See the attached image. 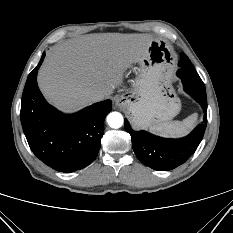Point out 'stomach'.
I'll return each mask as SVG.
<instances>
[{
  "mask_svg": "<svg viewBox=\"0 0 233 233\" xmlns=\"http://www.w3.org/2000/svg\"><path fill=\"white\" fill-rule=\"evenodd\" d=\"M137 63V77L123 97L137 128H147L172 120L181 103L171 84L175 54L162 39H154L146 56Z\"/></svg>",
  "mask_w": 233,
  "mask_h": 233,
  "instance_id": "stomach-1",
  "label": "stomach"
}]
</instances>
